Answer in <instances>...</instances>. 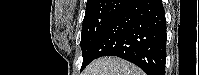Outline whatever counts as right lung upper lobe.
Wrapping results in <instances>:
<instances>
[{"label":"right lung upper lobe","instance_id":"1","mask_svg":"<svg viewBox=\"0 0 199 75\" xmlns=\"http://www.w3.org/2000/svg\"><path fill=\"white\" fill-rule=\"evenodd\" d=\"M105 1H107V0H87L86 9H90L95 6H99V5L103 4Z\"/></svg>","mask_w":199,"mask_h":75}]
</instances>
